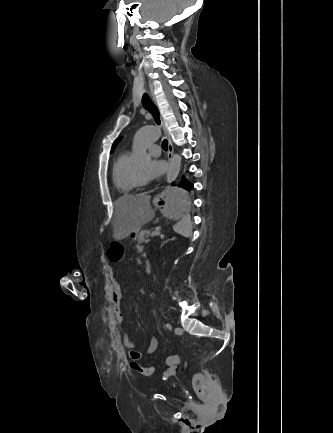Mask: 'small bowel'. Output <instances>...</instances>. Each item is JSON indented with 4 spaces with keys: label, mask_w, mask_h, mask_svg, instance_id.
<instances>
[{
    "label": "small bowel",
    "mask_w": 333,
    "mask_h": 433,
    "mask_svg": "<svg viewBox=\"0 0 333 433\" xmlns=\"http://www.w3.org/2000/svg\"><path fill=\"white\" fill-rule=\"evenodd\" d=\"M112 299H113V303L116 307V312H117V319L119 320V322H123V314L121 311V304H122V300H123V291H122V287H121V283L118 280L117 276L115 273H113L112 275ZM122 344L124 346V348H126L128 350V356L130 359V363L135 362V363H139V361L141 360L143 353L139 350L136 349V345L135 343L131 340V338L128 335H124L122 338ZM158 347V339L156 337H152L150 344L147 348V354H151L153 352L156 351ZM176 372V369H168L166 371V374H174Z\"/></svg>",
    "instance_id": "1"
}]
</instances>
